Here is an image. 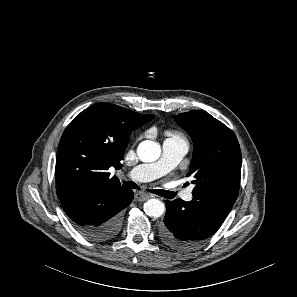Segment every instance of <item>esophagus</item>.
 Masks as SVG:
<instances>
[{
  "mask_svg": "<svg viewBox=\"0 0 297 297\" xmlns=\"http://www.w3.org/2000/svg\"><path fill=\"white\" fill-rule=\"evenodd\" d=\"M153 195L152 194H149V193H145V192H137L136 195H135V198L137 201L139 202H143L149 198H152Z\"/></svg>",
  "mask_w": 297,
  "mask_h": 297,
  "instance_id": "esophagus-1",
  "label": "esophagus"
}]
</instances>
